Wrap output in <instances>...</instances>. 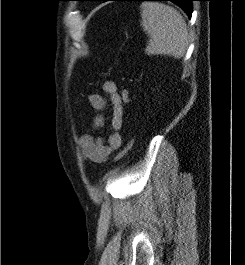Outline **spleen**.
<instances>
[{
  "instance_id": "1",
  "label": "spleen",
  "mask_w": 245,
  "mask_h": 265,
  "mask_svg": "<svg viewBox=\"0 0 245 265\" xmlns=\"http://www.w3.org/2000/svg\"><path fill=\"white\" fill-rule=\"evenodd\" d=\"M141 25L150 36L145 49L149 55H185L189 34L182 15L173 7L159 2H143L140 7Z\"/></svg>"
}]
</instances>
